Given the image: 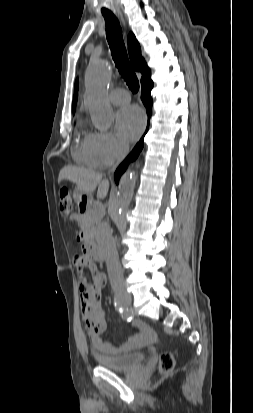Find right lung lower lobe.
<instances>
[{
  "label": "right lung lower lobe",
  "instance_id": "obj_1",
  "mask_svg": "<svg viewBox=\"0 0 253 413\" xmlns=\"http://www.w3.org/2000/svg\"><path fill=\"white\" fill-rule=\"evenodd\" d=\"M141 86H142V101L144 106L146 107L147 110V114L148 117L150 118L151 116V112H152V98L150 95L151 89L153 87V82L151 80V76L150 74L146 75L145 77L141 78ZM144 146V142L143 139H141L136 146L134 147V149L132 150V152L127 156V158L120 164V166L118 167L117 171L115 172L114 178L116 183H118L122 173L126 170L128 164L132 161H134L140 151L142 150Z\"/></svg>",
  "mask_w": 253,
  "mask_h": 413
}]
</instances>
